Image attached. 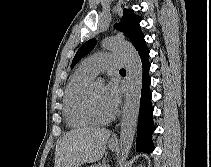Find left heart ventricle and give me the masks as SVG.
<instances>
[{
    "label": "left heart ventricle",
    "instance_id": "obj_1",
    "mask_svg": "<svg viewBox=\"0 0 211 167\" xmlns=\"http://www.w3.org/2000/svg\"><path fill=\"white\" fill-rule=\"evenodd\" d=\"M91 99L93 109L98 116L105 118L113 114L105 100L103 85L94 84L92 86Z\"/></svg>",
    "mask_w": 211,
    "mask_h": 167
}]
</instances>
